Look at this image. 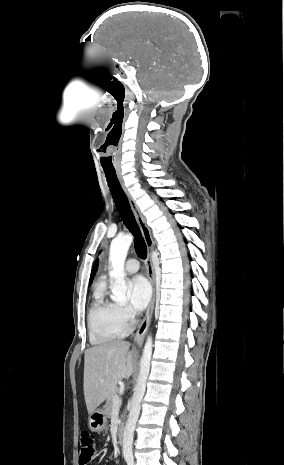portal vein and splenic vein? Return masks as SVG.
<instances>
[{
  "label": "portal vein and splenic vein",
  "mask_w": 284,
  "mask_h": 465,
  "mask_svg": "<svg viewBox=\"0 0 284 465\" xmlns=\"http://www.w3.org/2000/svg\"><path fill=\"white\" fill-rule=\"evenodd\" d=\"M121 405H122V399H120L118 395H115V397H113V407H121Z\"/></svg>",
  "instance_id": "obj_1"
}]
</instances>
